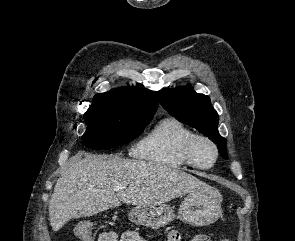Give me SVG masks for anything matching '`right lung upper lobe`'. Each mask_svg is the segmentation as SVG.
<instances>
[{
  "label": "right lung upper lobe",
  "mask_w": 295,
  "mask_h": 241,
  "mask_svg": "<svg viewBox=\"0 0 295 241\" xmlns=\"http://www.w3.org/2000/svg\"><path fill=\"white\" fill-rule=\"evenodd\" d=\"M95 96H105L121 101L127 106L138 108L142 111L155 114L158 106L157 93L143 90L139 87L118 88Z\"/></svg>",
  "instance_id": "1"
}]
</instances>
